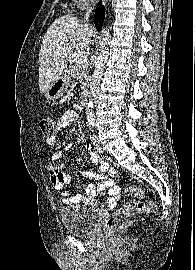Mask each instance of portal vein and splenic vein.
<instances>
[{"label": "portal vein and splenic vein", "instance_id": "18ae733b", "mask_svg": "<svg viewBox=\"0 0 195 270\" xmlns=\"http://www.w3.org/2000/svg\"><path fill=\"white\" fill-rule=\"evenodd\" d=\"M73 55L78 61H83L86 59L85 51H77Z\"/></svg>", "mask_w": 195, "mask_h": 270}]
</instances>
